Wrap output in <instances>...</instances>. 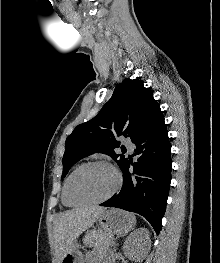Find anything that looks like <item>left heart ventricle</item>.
<instances>
[{
    "mask_svg": "<svg viewBox=\"0 0 220 263\" xmlns=\"http://www.w3.org/2000/svg\"><path fill=\"white\" fill-rule=\"evenodd\" d=\"M116 183L114 172L103 165H94L81 170L70 186L71 198L76 202L99 199L108 194Z\"/></svg>",
    "mask_w": 220,
    "mask_h": 263,
    "instance_id": "1",
    "label": "left heart ventricle"
}]
</instances>
